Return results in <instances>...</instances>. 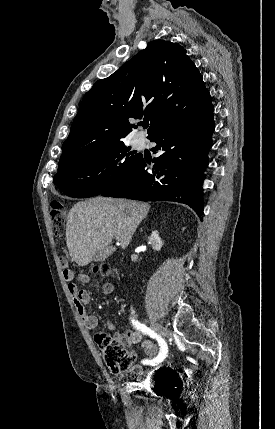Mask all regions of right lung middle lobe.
Wrapping results in <instances>:
<instances>
[{
  "mask_svg": "<svg viewBox=\"0 0 275 429\" xmlns=\"http://www.w3.org/2000/svg\"><path fill=\"white\" fill-rule=\"evenodd\" d=\"M123 141L88 152L58 168L54 183L68 196L86 198L108 190L122 180L141 156Z\"/></svg>",
  "mask_w": 275,
  "mask_h": 429,
  "instance_id": "right-lung-middle-lobe-1",
  "label": "right lung middle lobe"
}]
</instances>
